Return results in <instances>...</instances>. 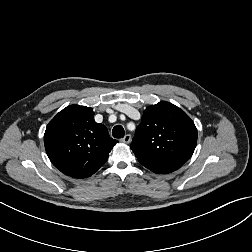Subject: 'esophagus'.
Listing matches in <instances>:
<instances>
[{"label":"esophagus","mask_w":252,"mask_h":252,"mask_svg":"<svg viewBox=\"0 0 252 252\" xmlns=\"http://www.w3.org/2000/svg\"><path fill=\"white\" fill-rule=\"evenodd\" d=\"M131 135L130 134H127L124 136V138L121 139V142L125 143V144H129L131 142Z\"/></svg>","instance_id":"34e87169"}]
</instances>
